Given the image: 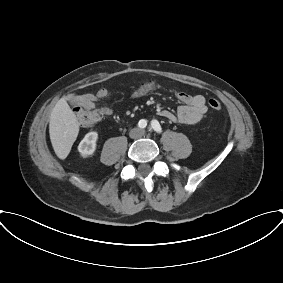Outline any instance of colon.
<instances>
[{
    "label": "colon",
    "mask_w": 283,
    "mask_h": 283,
    "mask_svg": "<svg viewBox=\"0 0 283 283\" xmlns=\"http://www.w3.org/2000/svg\"><path fill=\"white\" fill-rule=\"evenodd\" d=\"M208 106L213 111H219L221 109V103L216 98H210L208 100ZM76 117L78 122L86 127L95 124L99 120L100 114L89 107L83 106L77 109Z\"/></svg>",
    "instance_id": "5ec220e1"
}]
</instances>
